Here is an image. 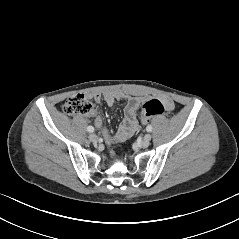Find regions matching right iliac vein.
<instances>
[{"label": "right iliac vein", "instance_id": "right-iliac-vein-1", "mask_svg": "<svg viewBox=\"0 0 239 239\" xmlns=\"http://www.w3.org/2000/svg\"><path fill=\"white\" fill-rule=\"evenodd\" d=\"M88 138H89V140H90L91 142H97V140H98L97 135L94 134V133H91V134L88 136Z\"/></svg>", "mask_w": 239, "mask_h": 239}]
</instances>
